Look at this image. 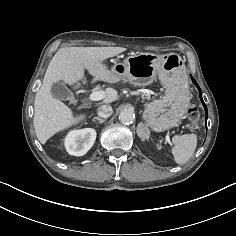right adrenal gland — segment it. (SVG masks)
Here are the masks:
<instances>
[{
	"label": "right adrenal gland",
	"instance_id": "right-adrenal-gland-1",
	"mask_svg": "<svg viewBox=\"0 0 236 236\" xmlns=\"http://www.w3.org/2000/svg\"><path fill=\"white\" fill-rule=\"evenodd\" d=\"M95 120L99 121V124L104 123L106 121V119H102L100 117H94L93 121H95Z\"/></svg>",
	"mask_w": 236,
	"mask_h": 236
}]
</instances>
